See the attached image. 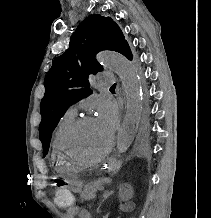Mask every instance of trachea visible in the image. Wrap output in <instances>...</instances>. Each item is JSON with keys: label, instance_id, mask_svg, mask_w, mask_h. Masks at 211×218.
<instances>
[{"label": "trachea", "instance_id": "1", "mask_svg": "<svg viewBox=\"0 0 211 218\" xmlns=\"http://www.w3.org/2000/svg\"><path fill=\"white\" fill-rule=\"evenodd\" d=\"M116 87V83H114V85H112V87L111 88H115Z\"/></svg>", "mask_w": 211, "mask_h": 218}]
</instances>
